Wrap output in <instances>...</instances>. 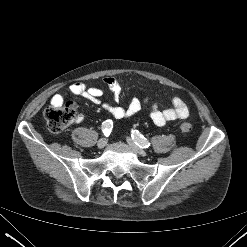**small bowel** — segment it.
<instances>
[{
    "label": "small bowel",
    "instance_id": "c3829d8e",
    "mask_svg": "<svg viewBox=\"0 0 247 247\" xmlns=\"http://www.w3.org/2000/svg\"><path fill=\"white\" fill-rule=\"evenodd\" d=\"M104 84L114 94L115 99L118 101L121 95V85L119 81L114 77H107L104 79ZM70 91L77 96H81L90 102L100 106L107 111L115 119H126L137 114L143 104L148 103L146 98L144 101L138 98H133L126 106H112L108 103L102 102L101 97L103 95V89L100 87H89L82 82H75L70 85ZM62 97L55 95L52 99V103H60ZM189 116V109L187 104L179 97H174L171 101V107L161 109L156 102H153L150 110V118L152 122L159 127L164 126L166 123L179 119H186ZM78 120L82 119L79 115Z\"/></svg>",
    "mask_w": 247,
    "mask_h": 247
}]
</instances>
